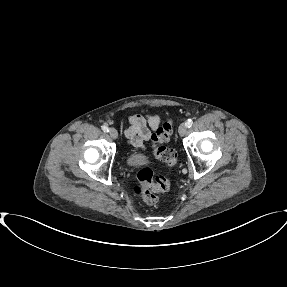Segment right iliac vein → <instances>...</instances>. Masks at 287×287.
Segmentation results:
<instances>
[{
	"instance_id": "obj_1",
	"label": "right iliac vein",
	"mask_w": 287,
	"mask_h": 287,
	"mask_svg": "<svg viewBox=\"0 0 287 287\" xmlns=\"http://www.w3.org/2000/svg\"><path fill=\"white\" fill-rule=\"evenodd\" d=\"M109 134H110L111 138H113V139H117L118 138V132L114 128H110Z\"/></svg>"
}]
</instances>
